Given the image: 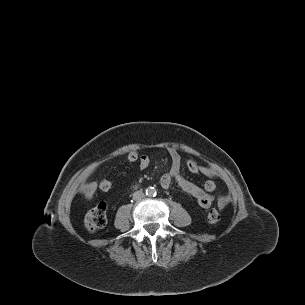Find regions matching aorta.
<instances>
[{
  "mask_svg": "<svg viewBox=\"0 0 305 305\" xmlns=\"http://www.w3.org/2000/svg\"><path fill=\"white\" fill-rule=\"evenodd\" d=\"M146 195L147 196H154V195H156V189L154 187H148L146 189Z\"/></svg>",
  "mask_w": 305,
  "mask_h": 305,
  "instance_id": "obj_1",
  "label": "aorta"
}]
</instances>
